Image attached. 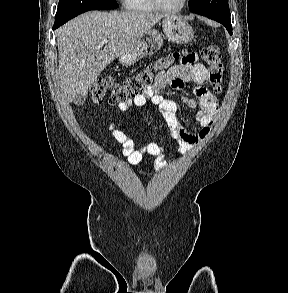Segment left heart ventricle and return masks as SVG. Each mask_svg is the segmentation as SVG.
<instances>
[{
    "instance_id": "obj_1",
    "label": "left heart ventricle",
    "mask_w": 288,
    "mask_h": 293,
    "mask_svg": "<svg viewBox=\"0 0 288 293\" xmlns=\"http://www.w3.org/2000/svg\"><path fill=\"white\" fill-rule=\"evenodd\" d=\"M159 1L165 7L174 8V7H177L181 3L182 0H159Z\"/></svg>"
}]
</instances>
